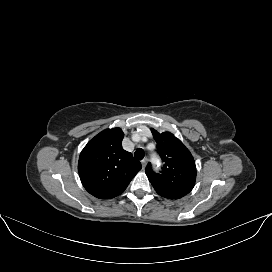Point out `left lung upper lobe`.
Masks as SVG:
<instances>
[{
  "label": "left lung upper lobe",
  "mask_w": 272,
  "mask_h": 272,
  "mask_svg": "<svg viewBox=\"0 0 272 272\" xmlns=\"http://www.w3.org/2000/svg\"><path fill=\"white\" fill-rule=\"evenodd\" d=\"M151 132L164 166L158 174L152 170L149 163L146 175L159 195L168 199H180L195 185L196 166L193 156L172 133H158L155 129H151Z\"/></svg>",
  "instance_id": "1"
}]
</instances>
